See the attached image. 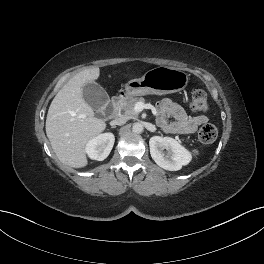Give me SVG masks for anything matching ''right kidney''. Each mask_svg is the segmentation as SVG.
Masks as SVG:
<instances>
[{
	"label": "right kidney",
	"mask_w": 264,
	"mask_h": 264,
	"mask_svg": "<svg viewBox=\"0 0 264 264\" xmlns=\"http://www.w3.org/2000/svg\"><path fill=\"white\" fill-rule=\"evenodd\" d=\"M114 142L115 137L112 133H103L89 140L85 151L91 159L103 161L110 154Z\"/></svg>",
	"instance_id": "1"
}]
</instances>
